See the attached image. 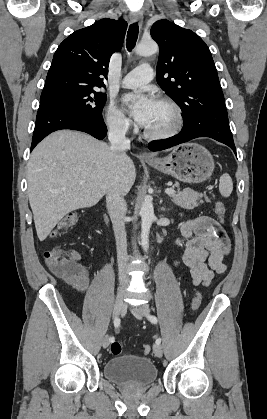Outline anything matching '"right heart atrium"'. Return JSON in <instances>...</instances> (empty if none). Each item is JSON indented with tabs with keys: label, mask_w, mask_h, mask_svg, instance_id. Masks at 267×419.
<instances>
[{
	"label": "right heart atrium",
	"mask_w": 267,
	"mask_h": 419,
	"mask_svg": "<svg viewBox=\"0 0 267 419\" xmlns=\"http://www.w3.org/2000/svg\"><path fill=\"white\" fill-rule=\"evenodd\" d=\"M105 122L108 128L116 134H126L131 121L115 103H110L105 112Z\"/></svg>",
	"instance_id": "obj_1"
}]
</instances>
